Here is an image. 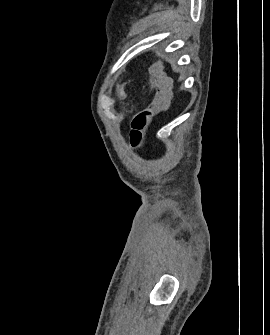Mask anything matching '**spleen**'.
Wrapping results in <instances>:
<instances>
[{
  "label": "spleen",
  "instance_id": "1",
  "mask_svg": "<svg viewBox=\"0 0 270 335\" xmlns=\"http://www.w3.org/2000/svg\"><path fill=\"white\" fill-rule=\"evenodd\" d=\"M172 66H173L174 70H176L175 62H173Z\"/></svg>",
  "mask_w": 270,
  "mask_h": 335
}]
</instances>
